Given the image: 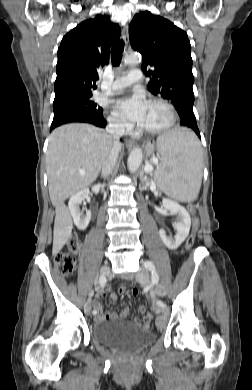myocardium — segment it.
I'll use <instances>...</instances> for the list:
<instances>
[{
    "instance_id": "obj_1",
    "label": "myocardium",
    "mask_w": 252,
    "mask_h": 390,
    "mask_svg": "<svg viewBox=\"0 0 252 390\" xmlns=\"http://www.w3.org/2000/svg\"><path fill=\"white\" fill-rule=\"evenodd\" d=\"M148 103L149 104L163 105L169 112V121L167 122V124H165L164 126H162L160 128L144 129L142 127H139V131L141 133L148 134V135H159V134H163V133L169 131L175 125L176 120H177V113H176V109L173 106V104H171L169 101H167L165 99H161V98L150 99L148 101Z\"/></svg>"
}]
</instances>
